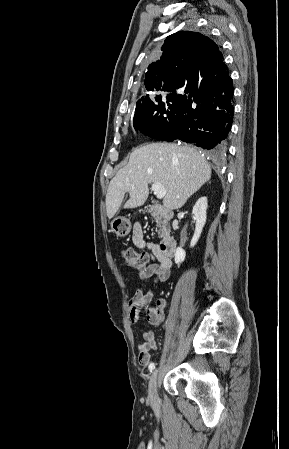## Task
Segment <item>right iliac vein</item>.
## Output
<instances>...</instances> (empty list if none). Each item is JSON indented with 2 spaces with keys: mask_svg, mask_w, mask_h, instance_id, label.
Instances as JSON below:
<instances>
[{
  "mask_svg": "<svg viewBox=\"0 0 289 449\" xmlns=\"http://www.w3.org/2000/svg\"><path fill=\"white\" fill-rule=\"evenodd\" d=\"M158 374H159V370L156 369L153 372V374L151 375L150 383H149V399L153 403H156L157 399H158V394H157Z\"/></svg>",
  "mask_w": 289,
  "mask_h": 449,
  "instance_id": "right-iliac-vein-1",
  "label": "right iliac vein"
}]
</instances>
